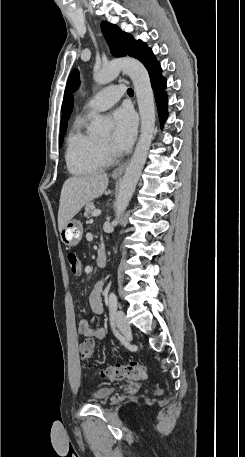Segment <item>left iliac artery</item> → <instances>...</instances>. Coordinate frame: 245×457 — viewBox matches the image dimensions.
Returning <instances> with one entry per match:
<instances>
[{"instance_id": "left-iliac-artery-1", "label": "left iliac artery", "mask_w": 245, "mask_h": 457, "mask_svg": "<svg viewBox=\"0 0 245 457\" xmlns=\"http://www.w3.org/2000/svg\"><path fill=\"white\" fill-rule=\"evenodd\" d=\"M117 304H118L117 297L113 292H111L109 294L108 306H109L110 323L112 326H113V317H114V314L117 309Z\"/></svg>"}]
</instances>
